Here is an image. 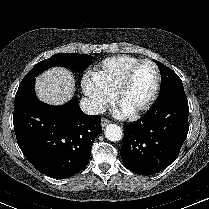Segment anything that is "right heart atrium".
<instances>
[{"label":"right heart atrium","mask_w":209,"mask_h":209,"mask_svg":"<svg viewBox=\"0 0 209 209\" xmlns=\"http://www.w3.org/2000/svg\"><path fill=\"white\" fill-rule=\"evenodd\" d=\"M82 88L85 95L90 99L93 108L97 111H102L113 100V95L91 77L83 79Z\"/></svg>","instance_id":"right-heart-atrium-1"}]
</instances>
